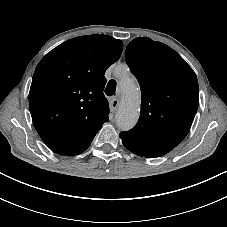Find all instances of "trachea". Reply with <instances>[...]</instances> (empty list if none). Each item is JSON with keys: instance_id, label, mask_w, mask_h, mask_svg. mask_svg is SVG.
<instances>
[{"instance_id": "obj_1", "label": "trachea", "mask_w": 227, "mask_h": 227, "mask_svg": "<svg viewBox=\"0 0 227 227\" xmlns=\"http://www.w3.org/2000/svg\"><path fill=\"white\" fill-rule=\"evenodd\" d=\"M116 92V81L114 79H111L105 88V93L108 96H113L115 95Z\"/></svg>"}]
</instances>
